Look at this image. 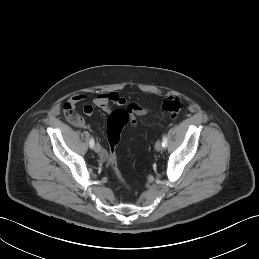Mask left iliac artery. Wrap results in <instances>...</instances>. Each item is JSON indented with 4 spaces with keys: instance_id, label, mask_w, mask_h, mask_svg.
<instances>
[{
    "instance_id": "1",
    "label": "left iliac artery",
    "mask_w": 259,
    "mask_h": 259,
    "mask_svg": "<svg viewBox=\"0 0 259 259\" xmlns=\"http://www.w3.org/2000/svg\"><path fill=\"white\" fill-rule=\"evenodd\" d=\"M162 147H164V148L167 147V137H166V135L163 136V139H162Z\"/></svg>"
}]
</instances>
